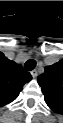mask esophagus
Returning <instances> with one entry per match:
<instances>
[{
	"mask_svg": "<svg viewBox=\"0 0 63 123\" xmlns=\"http://www.w3.org/2000/svg\"><path fill=\"white\" fill-rule=\"evenodd\" d=\"M31 75H32L33 78H36L37 75H38V71L36 69L32 70Z\"/></svg>",
	"mask_w": 63,
	"mask_h": 123,
	"instance_id": "esophagus-1",
	"label": "esophagus"
}]
</instances>
